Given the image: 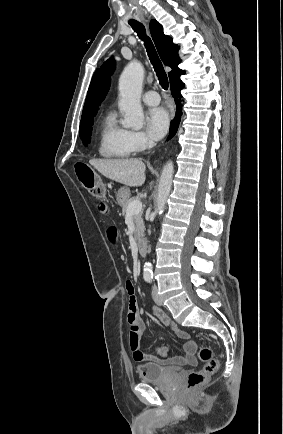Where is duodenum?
<instances>
[{
  "label": "duodenum",
  "mask_w": 283,
  "mask_h": 434,
  "mask_svg": "<svg viewBox=\"0 0 283 434\" xmlns=\"http://www.w3.org/2000/svg\"><path fill=\"white\" fill-rule=\"evenodd\" d=\"M137 249L138 252L140 253V255L145 256L147 253V245L145 240L143 239H138L137 241Z\"/></svg>",
  "instance_id": "duodenum-1"
}]
</instances>
